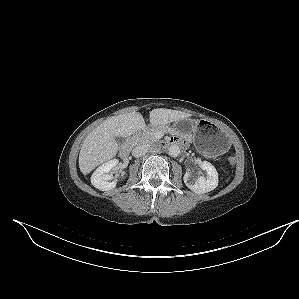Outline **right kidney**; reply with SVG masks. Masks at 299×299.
Instances as JSON below:
<instances>
[{"label": "right kidney", "instance_id": "ca27d5eb", "mask_svg": "<svg viewBox=\"0 0 299 299\" xmlns=\"http://www.w3.org/2000/svg\"><path fill=\"white\" fill-rule=\"evenodd\" d=\"M119 161L117 159H113L103 163L99 166L91 177L92 185L101 190V191H109L116 187L117 181L113 180V175L110 171L114 168H117Z\"/></svg>", "mask_w": 299, "mask_h": 299}]
</instances>
